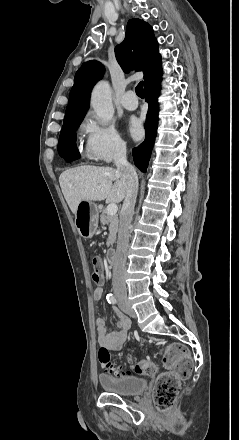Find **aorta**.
Returning a JSON list of instances; mask_svg holds the SVG:
<instances>
[{
	"label": "aorta",
	"mask_w": 239,
	"mask_h": 440,
	"mask_svg": "<svg viewBox=\"0 0 239 440\" xmlns=\"http://www.w3.org/2000/svg\"><path fill=\"white\" fill-rule=\"evenodd\" d=\"M96 116L101 118L103 122L112 120L115 110L112 104L111 88L108 82H98L91 94L90 102Z\"/></svg>",
	"instance_id": "1"
}]
</instances>
